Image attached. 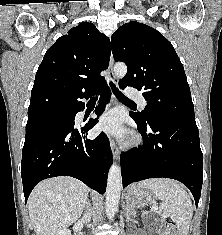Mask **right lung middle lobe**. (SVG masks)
Returning <instances> with one entry per match:
<instances>
[{"mask_svg": "<svg viewBox=\"0 0 222 235\" xmlns=\"http://www.w3.org/2000/svg\"><path fill=\"white\" fill-rule=\"evenodd\" d=\"M64 125L66 124L63 121L53 116L35 120H28L26 124V136H29L46 128Z\"/></svg>", "mask_w": 222, "mask_h": 235, "instance_id": "dd1d6c3e", "label": "right lung middle lobe"}]
</instances>
